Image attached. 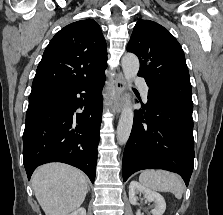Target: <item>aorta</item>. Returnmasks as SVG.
I'll return each instance as SVG.
<instances>
[{
	"instance_id": "aorta-1",
	"label": "aorta",
	"mask_w": 223,
	"mask_h": 215,
	"mask_svg": "<svg viewBox=\"0 0 223 215\" xmlns=\"http://www.w3.org/2000/svg\"><path fill=\"white\" fill-rule=\"evenodd\" d=\"M122 70L128 86H131V82L138 74L139 60L135 54H125L121 60ZM133 109L130 104L122 109L117 125V141L118 143H126L133 125Z\"/></svg>"
}]
</instances>
